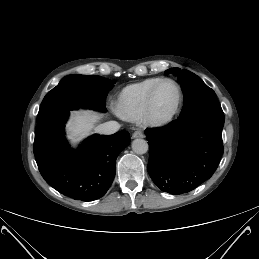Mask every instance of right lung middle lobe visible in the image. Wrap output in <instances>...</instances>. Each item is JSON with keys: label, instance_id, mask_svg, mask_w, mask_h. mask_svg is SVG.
<instances>
[{"label": "right lung middle lobe", "instance_id": "dd1d6c3e", "mask_svg": "<svg viewBox=\"0 0 259 259\" xmlns=\"http://www.w3.org/2000/svg\"><path fill=\"white\" fill-rule=\"evenodd\" d=\"M113 84V81L96 75H68L46 94L37 120L53 112L80 107L105 112V100Z\"/></svg>", "mask_w": 259, "mask_h": 259}]
</instances>
